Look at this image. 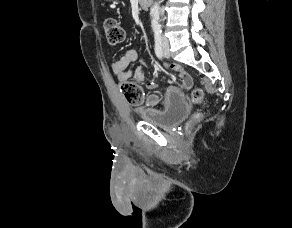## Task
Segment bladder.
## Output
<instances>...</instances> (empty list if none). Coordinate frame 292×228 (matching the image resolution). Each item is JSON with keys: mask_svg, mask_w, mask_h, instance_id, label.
I'll return each mask as SVG.
<instances>
[{"mask_svg": "<svg viewBox=\"0 0 292 228\" xmlns=\"http://www.w3.org/2000/svg\"><path fill=\"white\" fill-rule=\"evenodd\" d=\"M189 111V104L186 101H182L163 114L144 115L142 119L154 126L168 128L186 117Z\"/></svg>", "mask_w": 292, "mask_h": 228, "instance_id": "obj_1", "label": "bladder"}]
</instances>
